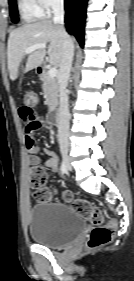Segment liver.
<instances>
[{"instance_id":"6515ba94","label":"liver","mask_w":134,"mask_h":281,"mask_svg":"<svg viewBox=\"0 0 134 281\" xmlns=\"http://www.w3.org/2000/svg\"><path fill=\"white\" fill-rule=\"evenodd\" d=\"M71 39V38H70ZM49 43V62L55 67L60 66L63 55V38L59 25L51 20L37 21L25 24L13 30L8 39L7 60L10 79L16 80L19 67L27 55L25 71L39 67L46 56L45 49H37L29 54L25 53L28 47L36 44Z\"/></svg>"}]
</instances>
